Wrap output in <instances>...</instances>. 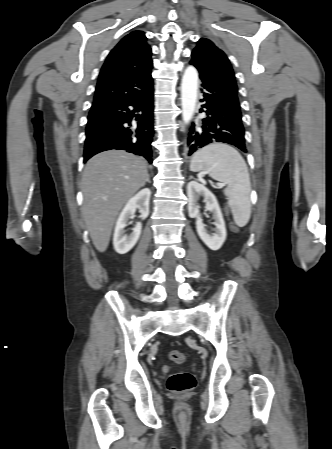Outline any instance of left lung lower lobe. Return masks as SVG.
<instances>
[{"label":"left lung lower lobe","mask_w":332,"mask_h":449,"mask_svg":"<svg viewBox=\"0 0 332 449\" xmlns=\"http://www.w3.org/2000/svg\"><path fill=\"white\" fill-rule=\"evenodd\" d=\"M205 113L201 123H192L188 133V155L210 143H227L247 152L239 100L219 83L200 75Z\"/></svg>","instance_id":"0a47b994"}]
</instances>
